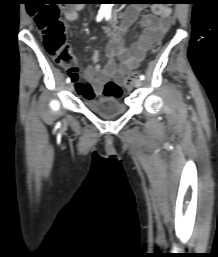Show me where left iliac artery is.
<instances>
[{
  "mask_svg": "<svg viewBox=\"0 0 218 257\" xmlns=\"http://www.w3.org/2000/svg\"><path fill=\"white\" fill-rule=\"evenodd\" d=\"M105 17H106V20H109L111 18V13H106L105 14ZM140 79L141 80H144L145 79V76L144 75H140Z\"/></svg>",
  "mask_w": 218,
  "mask_h": 257,
  "instance_id": "44dca946",
  "label": "left iliac artery"
}]
</instances>
